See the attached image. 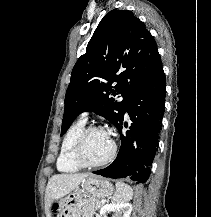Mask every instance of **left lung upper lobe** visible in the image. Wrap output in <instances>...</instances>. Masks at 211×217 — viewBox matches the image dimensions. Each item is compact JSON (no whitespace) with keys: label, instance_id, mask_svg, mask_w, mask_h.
<instances>
[{"label":"left lung upper lobe","instance_id":"1","mask_svg":"<svg viewBox=\"0 0 211 217\" xmlns=\"http://www.w3.org/2000/svg\"><path fill=\"white\" fill-rule=\"evenodd\" d=\"M161 66L156 42L145 25L131 11L108 12L72 70L61 135L84 111L103 116L116 126L133 92Z\"/></svg>","mask_w":211,"mask_h":217}]
</instances>
